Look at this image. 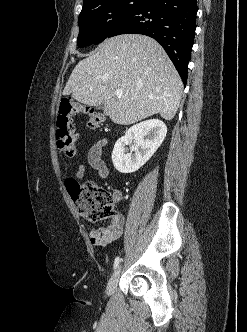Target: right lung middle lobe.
Returning a JSON list of instances; mask_svg holds the SVG:
<instances>
[{
  "mask_svg": "<svg viewBox=\"0 0 247 332\" xmlns=\"http://www.w3.org/2000/svg\"><path fill=\"white\" fill-rule=\"evenodd\" d=\"M147 0H101L82 9L79 18V48L105 40L116 24Z\"/></svg>",
  "mask_w": 247,
  "mask_h": 332,
  "instance_id": "dd1d6c3e",
  "label": "right lung middle lobe"
}]
</instances>
